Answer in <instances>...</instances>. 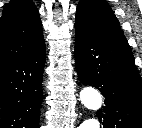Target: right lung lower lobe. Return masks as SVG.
<instances>
[{
	"instance_id": "98d812e1",
	"label": "right lung lower lobe",
	"mask_w": 142,
	"mask_h": 128,
	"mask_svg": "<svg viewBox=\"0 0 142 128\" xmlns=\"http://www.w3.org/2000/svg\"><path fill=\"white\" fill-rule=\"evenodd\" d=\"M45 42L0 68V128H39Z\"/></svg>"
}]
</instances>
